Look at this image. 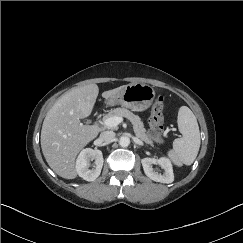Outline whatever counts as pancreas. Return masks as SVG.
I'll return each mask as SVG.
<instances>
[{"label":"pancreas","instance_id":"1","mask_svg":"<svg viewBox=\"0 0 243 243\" xmlns=\"http://www.w3.org/2000/svg\"><path fill=\"white\" fill-rule=\"evenodd\" d=\"M114 116L125 117L130 120L133 125L135 135L145 143L153 145V141L147 136L144 124L138 115H135L125 108H115L110 110V112L104 117V119Z\"/></svg>","mask_w":243,"mask_h":243}]
</instances>
